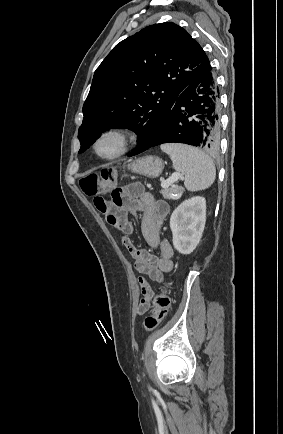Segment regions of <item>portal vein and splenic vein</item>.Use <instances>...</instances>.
I'll list each match as a JSON object with an SVG mask.
<instances>
[{"instance_id":"obj_1","label":"portal vein and splenic vein","mask_w":283,"mask_h":434,"mask_svg":"<svg viewBox=\"0 0 283 434\" xmlns=\"http://www.w3.org/2000/svg\"><path fill=\"white\" fill-rule=\"evenodd\" d=\"M180 175L179 174H172L171 177H169L167 180H162L161 181V186L163 188L168 187L169 185H171L172 183H174L175 181H177L178 179H180Z\"/></svg>"}]
</instances>
